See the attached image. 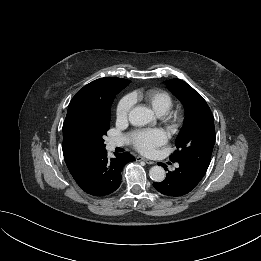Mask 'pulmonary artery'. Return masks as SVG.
Returning a JSON list of instances; mask_svg holds the SVG:
<instances>
[{
    "label": "pulmonary artery",
    "mask_w": 261,
    "mask_h": 261,
    "mask_svg": "<svg viewBox=\"0 0 261 261\" xmlns=\"http://www.w3.org/2000/svg\"><path fill=\"white\" fill-rule=\"evenodd\" d=\"M122 144H123L122 140H112V141L109 142V147L114 148V147H117V146H121Z\"/></svg>",
    "instance_id": "1"
}]
</instances>
